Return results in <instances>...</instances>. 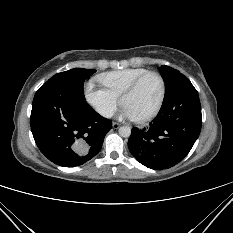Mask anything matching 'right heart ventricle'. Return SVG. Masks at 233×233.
Here are the masks:
<instances>
[{"instance_id":"e07e8e85","label":"right heart ventricle","mask_w":233,"mask_h":233,"mask_svg":"<svg viewBox=\"0 0 233 233\" xmlns=\"http://www.w3.org/2000/svg\"><path fill=\"white\" fill-rule=\"evenodd\" d=\"M146 68H126L102 73L98 80L115 96L120 97L123 91L138 77L148 72Z\"/></svg>"}]
</instances>
